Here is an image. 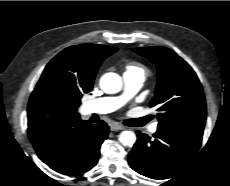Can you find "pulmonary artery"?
<instances>
[{"mask_svg":"<svg viewBox=\"0 0 230 186\" xmlns=\"http://www.w3.org/2000/svg\"><path fill=\"white\" fill-rule=\"evenodd\" d=\"M123 81L124 91L120 96L90 100L84 105L85 112L105 114L117 110L141 89L145 76L142 73L125 72L123 74ZM149 130L151 133H155L157 131V124H153Z\"/></svg>","mask_w":230,"mask_h":186,"instance_id":"obj_1","label":"pulmonary artery"}]
</instances>
